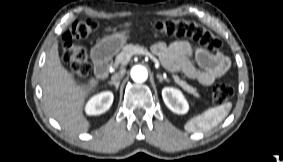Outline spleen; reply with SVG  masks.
Instances as JSON below:
<instances>
[{
	"mask_svg": "<svg viewBox=\"0 0 283 162\" xmlns=\"http://www.w3.org/2000/svg\"><path fill=\"white\" fill-rule=\"evenodd\" d=\"M231 108L232 103L230 102L209 108L202 114L188 120L184 128L188 132L208 131L222 122L229 114Z\"/></svg>",
	"mask_w": 283,
	"mask_h": 162,
	"instance_id": "spleen-1",
	"label": "spleen"
}]
</instances>
